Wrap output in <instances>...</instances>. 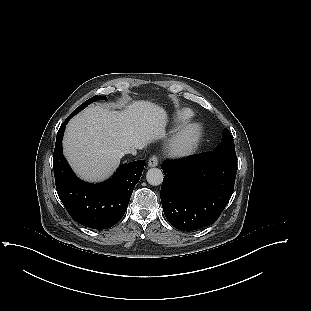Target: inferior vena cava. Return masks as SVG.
I'll return each mask as SVG.
<instances>
[{
	"instance_id": "inferior-vena-cava-1",
	"label": "inferior vena cava",
	"mask_w": 311,
	"mask_h": 311,
	"mask_svg": "<svg viewBox=\"0 0 311 311\" xmlns=\"http://www.w3.org/2000/svg\"><path fill=\"white\" fill-rule=\"evenodd\" d=\"M137 145L136 144H129L128 148L126 149V152L130 155L133 156L137 152Z\"/></svg>"
}]
</instances>
